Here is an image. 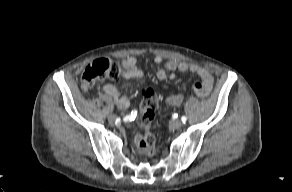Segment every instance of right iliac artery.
Here are the masks:
<instances>
[{"instance_id":"82829eb1","label":"right iliac artery","mask_w":292,"mask_h":192,"mask_svg":"<svg viewBox=\"0 0 292 192\" xmlns=\"http://www.w3.org/2000/svg\"><path fill=\"white\" fill-rule=\"evenodd\" d=\"M139 115V112L137 110H132L129 114L125 115L122 118V122H128L134 123L136 121V118Z\"/></svg>"}]
</instances>
